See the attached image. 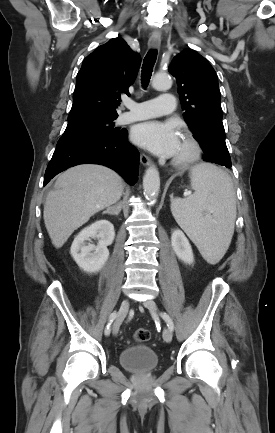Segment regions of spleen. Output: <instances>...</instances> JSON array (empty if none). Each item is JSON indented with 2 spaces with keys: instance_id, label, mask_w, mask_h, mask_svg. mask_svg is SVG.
<instances>
[{
  "instance_id": "1",
  "label": "spleen",
  "mask_w": 275,
  "mask_h": 433,
  "mask_svg": "<svg viewBox=\"0 0 275 433\" xmlns=\"http://www.w3.org/2000/svg\"><path fill=\"white\" fill-rule=\"evenodd\" d=\"M190 179L194 194L172 199L171 211L203 258L216 264L226 253L234 233L233 183L225 171L208 163L194 166Z\"/></svg>"
}]
</instances>
